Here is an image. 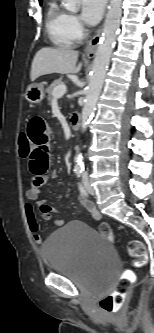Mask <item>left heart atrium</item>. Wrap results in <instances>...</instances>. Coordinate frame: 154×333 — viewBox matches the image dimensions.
Wrapping results in <instances>:
<instances>
[{
  "mask_svg": "<svg viewBox=\"0 0 154 333\" xmlns=\"http://www.w3.org/2000/svg\"><path fill=\"white\" fill-rule=\"evenodd\" d=\"M106 0H81L82 18L89 24H96L102 17Z\"/></svg>",
  "mask_w": 154,
  "mask_h": 333,
  "instance_id": "1",
  "label": "left heart atrium"
}]
</instances>
